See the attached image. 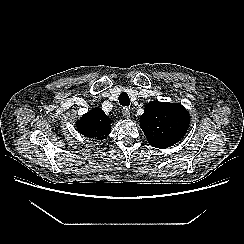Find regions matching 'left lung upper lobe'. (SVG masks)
Instances as JSON below:
<instances>
[{
	"mask_svg": "<svg viewBox=\"0 0 244 244\" xmlns=\"http://www.w3.org/2000/svg\"><path fill=\"white\" fill-rule=\"evenodd\" d=\"M190 123L187 110L179 103L151 101L140 117V126L149 144L168 148L183 138Z\"/></svg>",
	"mask_w": 244,
	"mask_h": 244,
	"instance_id": "5c2ea615",
	"label": "left lung upper lobe"
}]
</instances>
